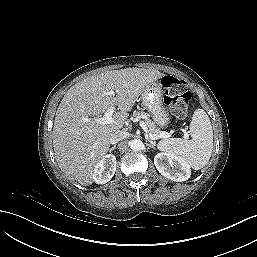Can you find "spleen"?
Wrapping results in <instances>:
<instances>
[{"label":"spleen","instance_id":"obj_1","mask_svg":"<svg viewBox=\"0 0 257 257\" xmlns=\"http://www.w3.org/2000/svg\"><path fill=\"white\" fill-rule=\"evenodd\" d=\"M191 139L160 140L157 148L162 153L181 157L191 168L199 170L207 164L213 150V131L210 119L203 109H196L190 123Z\"/></svg>","mask_w":257,"mask_h":257}]
</instances>
